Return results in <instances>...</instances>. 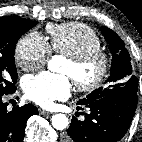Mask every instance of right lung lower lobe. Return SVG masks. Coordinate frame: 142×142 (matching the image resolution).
I'll return each instance as SVG.
<instances>
[{"label":"right lung lower lobe","instance_id":"obj_1","mask_svg":"<svg viewBox=\"0 0 142 142\" xmlns=\"http://www.w3.org/2000/svg\"><path fill=\"white\" fill-rule=\"evenodd\" d=\"M16 87L5 94L0 95V142H23L27 120L38 114L37 107L26 104L7 111L8 103L3 101L7 94H13Z\"/></svg>","mask_w":142,"mask_h":142}]
</instances>
